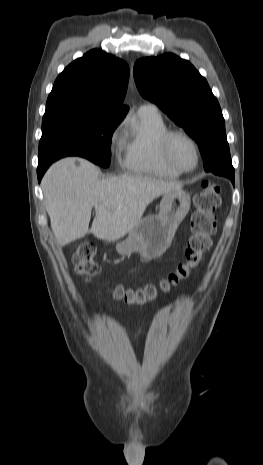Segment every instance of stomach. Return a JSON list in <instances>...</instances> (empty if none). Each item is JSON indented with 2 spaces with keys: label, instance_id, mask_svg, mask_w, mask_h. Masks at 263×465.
Wrapping results in <instances>:
<instances>
[{
  "label": "stomach",
  "instance_id": "0dacf381",
  "mask_svg": "<svg viewBox=\"0 0 263 465\" xmlns=\"http://www.w3.org/2000/svg\"><path fill=\"white\" fill-rule=\"evenodd\" d=\"M190 195L183 190L163 194L158 215L142 218L129 232L128 237L116 244L122 256L139 253L144 259H154L165 252L175 232L190 209ZM110 243L105 240V244Z\"/></svg>",
  "mask_w": 263,
  "mask_h": 465
}]
</instances>
